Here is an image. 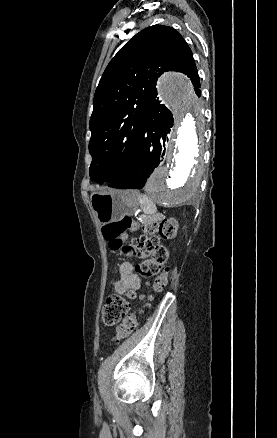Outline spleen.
Returning a JSON list of instances; mask_svg holds the SVG:
<instances>
[{
	"label": "spleen",
	"instance_id": "obj_1",
	"mask_svg": "<svg viewBox=\"0 0 277 438\" xmlns=\"http://www.w3.org/2000/svg\"><path fill=\"white\" fill-rule=\"evenodd\" d=\"M138 200L144 214H155V212H157L154 202H152L150 198H147V196H138Z\"/></svg>",
	"mask_w": 277,
	"mask_h": 438
}]
</instances>
